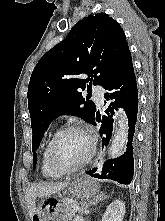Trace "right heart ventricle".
Returning a JSON list of instances; mask_svg holds the SVG:
<instances>
[{
  "label": "right heart ventricle",
  "mask_w": 165,
  "mask_h": 221,
  "mask_svg": "<svg viewBox=\"0 0 165 221\" xmlns=\"http://www.w3.org/2000/svg\"><path fill=\"white\" fill-rule=\"evenodd\" d=\"M50 139L46 142L41 156V173L43 176L47 178H56L59 177L61 174L55 172L49 165L48 158H47V148L49 144Z\"/></svg>",
  "instance_id": "obj_1"
}]
</instances>
